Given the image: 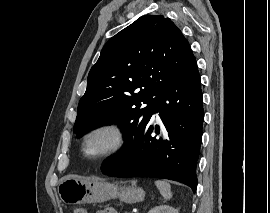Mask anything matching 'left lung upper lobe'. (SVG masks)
<instances>
[{
	"mask_svg": "<svg viewBox=\"0 0 270 213\" xmlns=\"http://www.w3.org/2000/svg\"><path fill=\"white\" fill-rule=\"evenodd\" d=\"M195 63L188 41L169 18H138L104 45L89 72L74 130L81 136L117 124L124 139H132L149 122L158 95Z\"/></svg>",
	"mask_w": 270,
	"mask_h": 213,
	"instance_id": "1",
	"label": "left lung upper lobe"
}]
</instances>
